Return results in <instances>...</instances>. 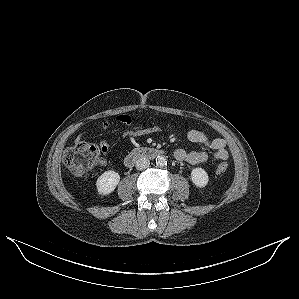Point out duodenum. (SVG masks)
<instances>
[{"mask_svg":"<svg viewBox=\"0 0 299 299\" xmlns=\"http://www.w3.org/2000/svg\"><path fill=\"white\" fill-rule=\"evenodd\" d=\"M164 151L162 149L157 148H138L130 152L126 159L125 163L128 167H132L137 160L139 159H153L160 155H162Z\"/></svg>","mask_w":299,"mask_h":299,"instance_id":"1","label":"duodenum"}]
</instances>
